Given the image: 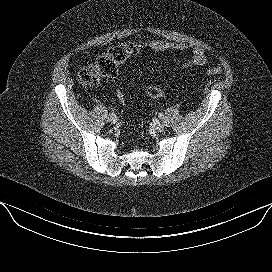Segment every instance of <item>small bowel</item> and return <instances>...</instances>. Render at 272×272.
<instances>
[{"label":"small bowel","mask_w":272,"mask_h":272,"mask_svg":"<svg viewBox=\"0 0 272 272\" xmlns=\"http://www.w3.org/2000/svg\"><path fill=\"white\" fill-rule=\"evenodd\" d=\"M149 48L157 53L183 51L189 48L185 42H174L170 40H153L148 44ZM207 63V56L203 49L195 47L191 50L189 59L185 62V66H203Z\"/></svg>","instance_id":"1"}]
</instances>
